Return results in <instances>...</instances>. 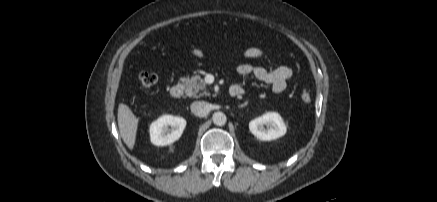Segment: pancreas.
<instances>
[{
    "label": "pancreas",
    "mask_w": 437,
    "mask_h": 202,
    "mask_svg": "<svg viewBox=\"0 0 437 202\" xmlns=\"http://www.w3.org/2000/svg\"><path fill=\"white\" fill-rule=\"evenodd\" d=\"M181 82L184 84L186 95L189 97L199 98L209 95L206 90V83L199 75L192 76L191 78H182Z\"/></svg>",
    "instance_id": "cf45deb5"
}]
</instances>
